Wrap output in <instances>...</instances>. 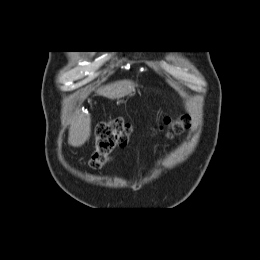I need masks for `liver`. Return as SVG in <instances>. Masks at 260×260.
I'll return each mask as SVG.
<instances>
[{
    "label": "liver",
    "mask_w": 260,
    "mask_h": 260,
    "mask_svg": "<svg viewBox=\"0 0 260 260\" xmlns=\"http://www.w3.org/2000/svg\"><path fill=\"white\" fill-rule=\"evenodd\" d=\"M117 87V83L113 85L105 86L98 90L100 95L108 98H114L113 90ZM91 134V118L89 114L79 113L77 111L74 119L72 120L69 128L68 142L73 147L82 146L89 138Z\"/></svg>",
    "instance_id": "liver-1"
}]
</instances>
